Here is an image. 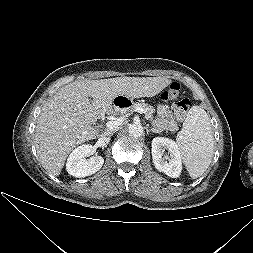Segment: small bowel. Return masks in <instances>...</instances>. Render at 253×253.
I'll list each match as a JSON object with an SVG mask.
<instances>
[{"mask_svg": "<svg viewBox=\"0 0 253 253\" xmlns=\"http://www.w3.org/2000/svg\"><path fill=\"white\" fill-rule=\"evenodd\" d=\"M181 120L176 115L175 105L169 107L165 104H159L157 107L156 125L160 129H166L175 132L178 129L177 121Z\"/></svg>", "mask_w": 253, "mask_h": 253, "instance_id": "1", "label": "small bowel"}]
</instances>
